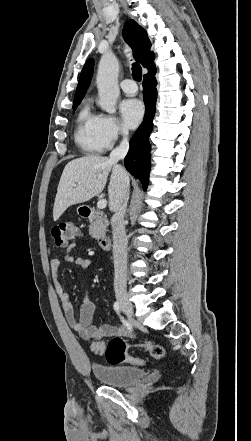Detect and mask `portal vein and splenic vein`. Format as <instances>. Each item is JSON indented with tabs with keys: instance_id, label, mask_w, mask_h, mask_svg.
Here are the masks:
<instances>
[{
	"instance_id": "18ae733b",
	"label": "portal vein and splenic vein",
	"mask_w": 251,
	"mask_h": 441,
	"mask_svg": "<svg viewBox=\"0 0 251 441\" xmlns=\"http://www.w3.org/2000/svg\"><path fill=\"white\" fill-rule=\"evenodd\" d=\"M107 206V201L105 199H101L97 202V208L104 209Z\"/></svg>"
}]
</instances>
